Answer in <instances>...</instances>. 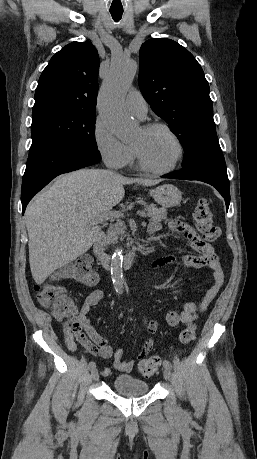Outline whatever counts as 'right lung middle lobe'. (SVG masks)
<instances>
[{"label":"right lung middle lobe","instance_id":"right-lung-middle-lobe-1","mask_svg":"<svg viewBox=\"0 0 257 459\" xmlns=\"http://www.w3.org/2000/svg\"><path fill=\"white\" fill-rule=\"evenodd\" d=\"M32 114L30 150L70 146L100 156L95 140V112L53 107Z\"/></svg>","mask_w":257,"mask_h":459}]
</instances>
